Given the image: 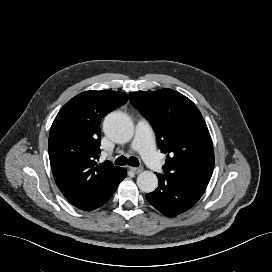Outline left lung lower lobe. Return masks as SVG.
<instances>
[{"label":"left lung lower lobe","mask_w":272,"mask_h":272,"mask_svg":"<svg viewBox=\"0 0 272 272\" xmlns=\"http://www.w3.org/2000/svg\"><path fill=\"white\" fill-rule=\"evenodd\" d=\"M158 188L146 195L148 202L168 217L177 216L195 205L207 184L174 174H157Z\"/></svg>","instance_id":"left-lung-lower-lobe-1"}]
</instances>
